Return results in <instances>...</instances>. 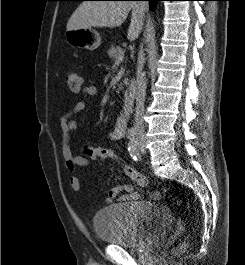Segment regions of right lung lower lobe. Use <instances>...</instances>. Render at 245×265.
<instances>
[{
    "label": "right lung lower lobe",
    "mask_w": 245,
    "mask_h": 265,
    "mask_svg": "<svg viewBox=\"0 0 245 265\" xmlns=\"http://www.w3.org/2000/svg\"><path fill=\"white\" fill-rule=\"evenodd\" d=\"M127 1H142V0H127ZM144 1H149L150 8L152 9L157 1H162V0H144Z\"/></svg>",
    "instance_id": "1"
}]
</instances>
